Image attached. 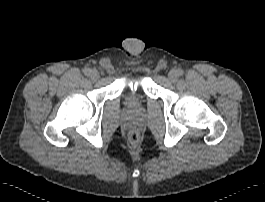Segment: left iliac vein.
Returning <instances> with one entry per match:
<instances>
[{
  "label": "left iliac vein",
  "mask_w": 265,
  "mask_h": 202,
  "mask_svg": "<svg viewBox=\"0 0 265 202\" xmlns=\"http://www.w3.org/2000/svg\"><path fill=\"white\" fill-rule=\"evenodd\" d=\"M168 78L170 81L174 82L177 78V71L172 69L168 74Z\"/></svg>",
  "instance_id": "left-iliac-vein-1"
}]
</instances>
